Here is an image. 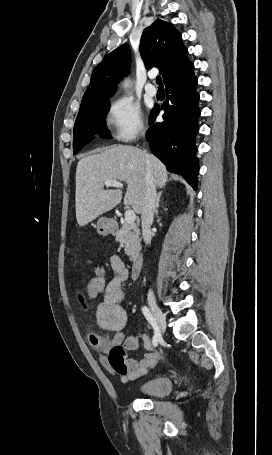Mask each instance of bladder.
<instances>
[{
	"label": "bladder",
	"mask_w": 272,
	"mask_h": 455,
	"mask_svg": "<svg viewBox=\"0 0 272 455\" xmlns=\"http://www.w3.org/2000/svg\"><path fill=\"white\" fill-rule=\"evenodd\" d=\"M174 382L168 375L156 376L145 383L140 388V394L148 397H163L172 392Z\"/></svg>",
	"instance_id": "31cf9c89"
}]
</instances>
